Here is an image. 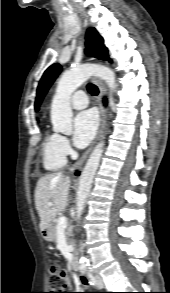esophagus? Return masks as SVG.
<instances>
[{"label": "esophagus", "mask_w": 170, "mask_h": 293, "mask_svg": "<svg viewBox=\"0 0 170 293\" xmlns=\"http://www.w3.org/2000/svg\"><path fill=\"white\" fill-rule=\"evenodd\" d=\"M92 81L98 86V88L100 89V92H101V96L103 97L106 94V87H105L103 81L99 78H96V77H93ZM99 109H100V126L98 129L97 135L95 137V140L91 144V146L84 152V154L81 156V158L76 162L75 169L81 168V166L86 161L89 154L91 153L94 145L96 144V142L100 139V137L102 135L104 125L106 122V117H107V111H106V108L102 104V99H101Z\"/></svg>", "instance_id": "34e87169"}]
</instances>
